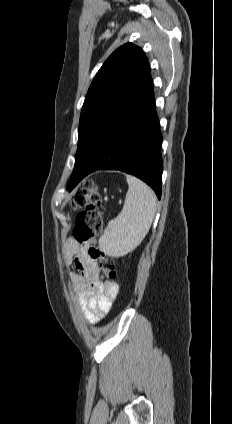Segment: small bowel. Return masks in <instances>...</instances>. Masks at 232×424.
Listing matches in <instances>:
<instances>
[{
  "instance_id": "1",
  "label": "small bowel",
  "mask_w": 232,
  "mask_h": 424,
  "mask_svg": "<svg viewBox=\"0 0 232 424\" xmlns=\"http://www.w3.org/2000/svg\"><path fill=\"white\" fill-rule=\"evenodd\" d=\"M88 244L73 238L65 241L62 249L63 262L75 267L69 279L76 292L79 308L90 324L100 321L110 310L117 294V284L104 283L95 260L88 254Z\"/></svg>"
}]
</instances>
